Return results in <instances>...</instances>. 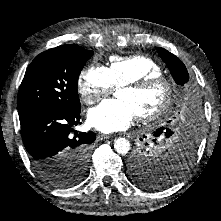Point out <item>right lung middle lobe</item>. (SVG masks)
Instances as JSON below:
<instances>
[{
  "label": "right lung middle lobe",
  "instance_id": "obj_1",
  "mask_svg": "<svg viewBox=\"0 0 221 221\" xmlns=\"http://www.w3.org/2000/svg\"><path fill=\"white\" fill-rule=\"evenodd\" d=\"M93 51L78 45H61L39 54L28 66L21 83L17 108L21 113L31 107L49 106L80 110L78 77ZM90 145L67 152L61 163L38 173L50 184L65 188L80 182L87 169Z\"/></svg>",
  "mask_w": 221,
  "mask_h": 221
}]
</instances>
